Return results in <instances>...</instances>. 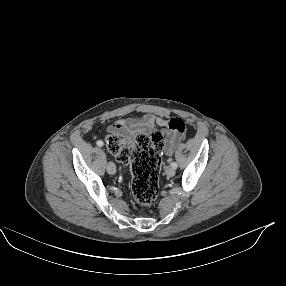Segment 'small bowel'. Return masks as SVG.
Returning a JSON list of instances; mask_svg holds the SVG:
<instances>
[{
  "label": "small bowel",
  "instance_id": "1",
  "mask_svg": "<svg viewBox=\"0 0 286 286\" xmlns=\"http://www.w3.org/2000/svg\"><path fill=\"white\" fill-rule=\"evenodd\" d=\"M179 120L175 117L155 116L148 113L141 117L119 119L108 127V133L132 141L138 135L160 132L165 139L164 152L171 155L184 135L177 124Z\"/></svg>",
  "mask_w": 286,
  "mask_h": 286
}]
</instances>
